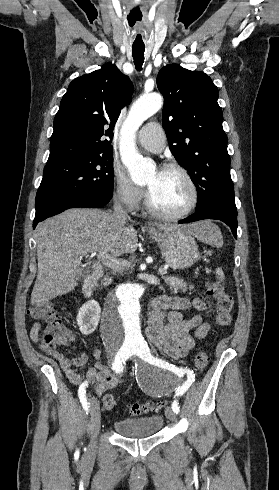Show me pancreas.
<instances>
[{"label":"pancreas","mask_w":279,"mask_h":490,"mask_svg":"<svg viewBox=\"0 0 279 490\" xmlns=\"http://www.w3.org/2000/svg\"><path fill=\"white\" fill-rule=\"evenodd\" d=\"M114 270H129V264H126V266H119V268H114ZM162 278H164L166 284H168L170 290L172 292H177V290H187L185 282L183 280H180V278H176V276H165V274H162ZM194 286H190V290H192Z\"/></svg>","instance_id":"obj_1"}]
</instances>
